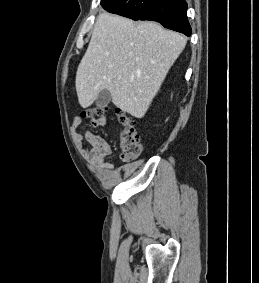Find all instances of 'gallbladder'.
<instances>
[{
  "label": "gallbladder",
  "mask_w": 259,
  "mask_h": 283,
  "mask_svg": "<svg viewBox=\"0 0 259 283\" xmlns=\"http://www.w3.org/2000/svg\"><path fill=\"white\" fill-rule=\"evenodd\" d=\"M110 101L111 93L107 89L102 90L96 99V106L99 109H103L110 103Z\"/></svg>",
  "instance_id": "obj_1"
}]
</instances>
